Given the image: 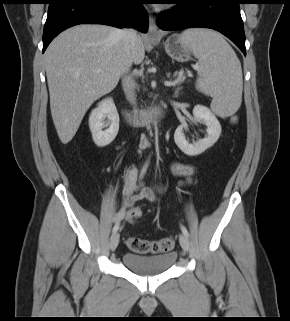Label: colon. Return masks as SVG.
<instances>
[{"label":"colon","mask_w":290,"mask_h":321,"mask_svg":"<svg viewBox=\"0 0 290 321\" xmlns=\"http://www.w3.org/2000/svg\"><path fill=\"white\" fill-rule=\"evenodd\" d=\"M142 215L140 208H134L130 211L131 219H138ZM130 250L142 254H159L172 251L175 241L172 237H165L159 240H145L138 237H130L127 240Z\"/></svg>","instance_id":"1"}]
</instances>
